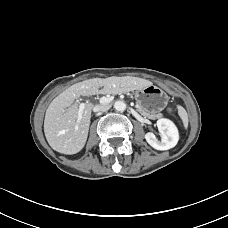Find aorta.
Returning <instances> with one entry per match:
<instances>
[{
	"instance_id": "1",
	"label": "aorta",
	"mask_w": 228,
	"mask_h": 228,
	"mask_svg": "<svg viewBox=\"0 0 228 228\" xmlns=\"http://www.w3.org/2000/svg\"><path fill=\"white\" fill-rule=\"evenodd\" d=\"M114 108L117 111L123 112L126 109V104L123 101H116L114 103Z\"/></svg>"
}]
</instances>
